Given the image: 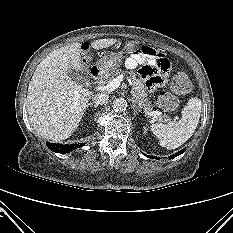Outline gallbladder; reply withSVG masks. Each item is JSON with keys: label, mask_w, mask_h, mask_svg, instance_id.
Returning <instances> with one entry per match:
<instances>
[{"label": "gallbladder", "mask_w": 233, "mask_h": 233, "mask_svg": "<svg viewBox=\"0 0 233 233\" xmlns=\"http://www.w3.org/2000/svg\"><path fill=\"white\" fill-rule=\"evenodd\" d=\"M68 76L71 79H73L74 81H77V82L83 81V79H84V77H83V75L81 73H79V72H77V71H75L73 69L68 71Z\"/></svg>", "instance_id": "1"}]
</instances>
